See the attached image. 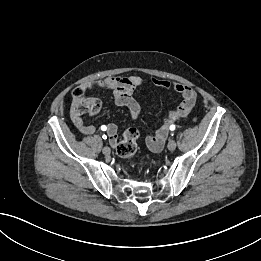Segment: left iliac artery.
<instances>
[{"instance_id":"1","label":"left iliac artery","mask_w":261,"mask_h":261,"mask_svg":"<svg viewBox=\"0 0 261 261\" xmlns=\"http://www.w3.org/2000/svg\"><path fill=\"white\" fill-rule=\"evenodd\" d=\"M170 130H171V131L175 130V125H171V126H170Z\"/></svg>"}]
</instances>
